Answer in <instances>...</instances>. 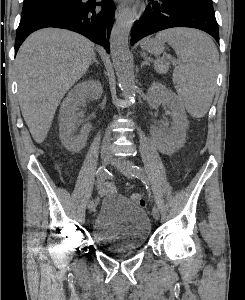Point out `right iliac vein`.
<instances>
[{
  "label": "right iliac vein",
  "mask_w": 245,
  "mask_h": 300,
  "mask_svg": "<svg viewBox=\"0 0 245 300\" xmlns=\"http://www.w3.org/2000/svg\"><path fill=\"white\" fill-rule=\"evenodd\" d=\"M101 159H102V163L104 165H108L110 163V161H111V154H110V152L103 151L101 153ZM92 202H95V200L94 201L91 200L87 204V207H88V209H89L90 212L94 211L95 208H96V205H92Z\"/></svg>",
  "instance_id": "obj_1"
}]
</instances>
